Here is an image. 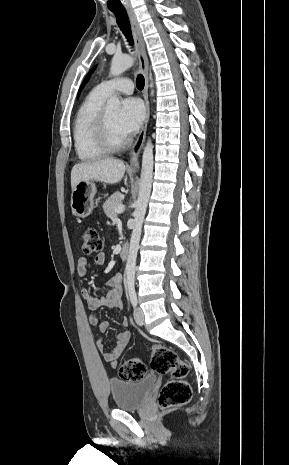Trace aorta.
<instances>
[{
  "instance_id": "obj_1",
  "label": "aorta",
  "mask_w": 289,
  "mask_h": 465,
  "mask_svg": "<svg viewBox=\"0 0 289 465\" xmlns=\"http://www.w3.org/2000/svg\"><path fill=\"white\" fill-rule=\"evenodd\" d=\"M134 64V59L129 55L114 56L111 62L110 73L113 76H119L128 68L132 67ZM150 80L152 81V76L150 75ZM150 87H153L151 82ZM154 94V91H151V95ZM108 108L119 109L120 101L116 96H112L107 101ZM153 144L151 139L147 140L146 146L143 151L142 156V168H141V179H140V188L139 196L136 202V207L134 211V228L132 231L129 254L125 268V275L127 281V288L129 291H134L135 289V268H136V258L139 249V242L142 231V224L144 221L150 192L152 185L153 177Z\"/></svg>"
}]
</instances>
